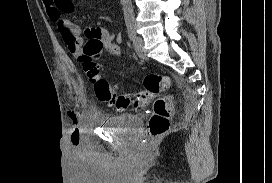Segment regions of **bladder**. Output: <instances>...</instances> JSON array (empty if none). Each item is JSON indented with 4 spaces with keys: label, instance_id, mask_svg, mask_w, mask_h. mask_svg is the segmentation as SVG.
Listing matches in <instances>:
<instances>
[{
    "label": "bladder",
    "instance_id": "1",
    "mask_svg": "<svg viewBox=\"0 0 272 183\" xmlns=\"http://www.w3.org/2000/svg\"><path fill=\"white\" fill-rule=\"evenodd\" d=\"M99 123L108 129L125 133H136L142 124V119L138 115L121 114L105 116L99 120Z\"/></svg>",
    "mask_w": 272,
    "mask_h": 183
}]
</instances>
